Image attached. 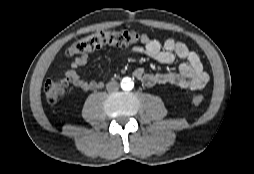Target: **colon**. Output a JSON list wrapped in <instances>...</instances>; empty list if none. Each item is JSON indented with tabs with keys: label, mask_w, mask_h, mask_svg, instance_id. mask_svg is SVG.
Here are the masks:
<instances>
[{
	"label": "colon",
	"mask_w": 254,
	"mask_h": 174,
	"mask_svg": "<svg viewBox=\"0 0 254 174\" xmlns=\"http://www.w3.org/2000/svg\"><path fill=\"white\" fill-rule=\"evenodd\" d=\"M140 35L134 30H101L91 33L74 42L66 51L70 57H77L101 47L105 44L123 45L137 42ZM69 87V82L65 78L49 79L44 85L46 99L50 103H56L64 96ZM203 95L196 94L192 97V102L199 105L203 102Z\"/></svg>",
	"instance_id": "5ec220e1"
}]
</instances>
